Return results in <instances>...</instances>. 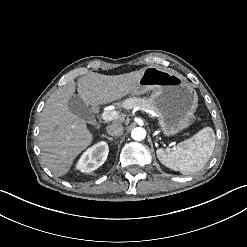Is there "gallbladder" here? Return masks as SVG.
I'll list each match as a JSON object with an SVG mask.
<instances>
[{"label": "gallbladder", "mask_w": 247, "mask_h": 247, "mask_svg": "<svg viewBox=\"0 0 247 247\" xmlns=\"http://www.w3.org/2000/svg\"><path fill=\"white\" fill-rule=\"evenodd\" d=\"M68 108L78 117L88 120L92 117V113L80 95L73 94L68 100Z\"/></svg>", "instance_id": "1"}]
</instances>
